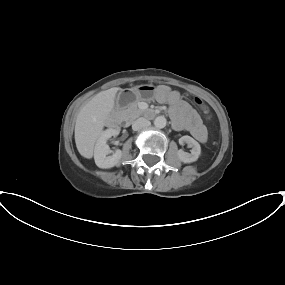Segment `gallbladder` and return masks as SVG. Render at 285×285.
I'll list each match as a JSON object with an SVG mask.
<instances>
[{
  "label": "gallbladder",
  "instance_id": "bac80fb5",
  "mask_svg": "<svg viewBox=\"0 0 285 285\" xmlns=\"http://www.w3.org/2000/svg\"><path fill=\"white\" fill-rule=\"evenodd\" d=\"M123 95H124V92H123V91H121V92H120V97L122 98V97H123Z\"/></svg>",
  "mask_w": 285,
  "mask_h": 285
}]
</instances>
